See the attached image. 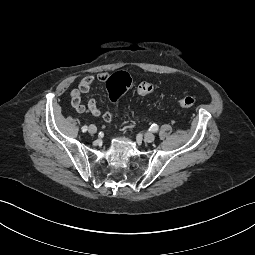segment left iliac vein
<instances>
[{
    "mask_svg": "<svg viewBox=\"0 0 255 255\" xmlns=\"http://www.w3.org/2000/svg\"><path fill=\"white\" fill-rule=\"evenodd\" d=\"M143 138L146 142L151 143L155 140V135L152 133H146V134H144Z\"/></svg>",
    "mask_w": 255,
    "mask_h": 255,
    "instance_id": "obj_1",
    "label": "left iliac vein"
}]
</instances>
